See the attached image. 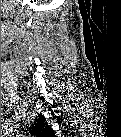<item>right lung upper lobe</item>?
Here are the masks:
<instances>
[{
    "mask_svg": "<svg viewBox=\"0 0 121 137\" xmlns=\"http://www.w3.org/2000/svg\"><path fill=\"white\" fill-rule=\"evenodd\" d=\"M44 116L40 115L37 119V122L35 123V126L33 127V131L36 134H44L47 133L51 129L47 126V123L45 122Z\"/></svg>",
    "mask_w": 121,
    "mask_h": 137,
    "instance_id": "obj_1",
    "label": "right lung upper lobe"
}]
</instances>
